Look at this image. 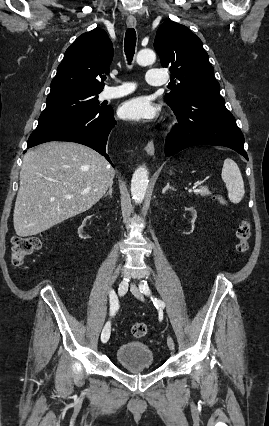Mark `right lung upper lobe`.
<instances>
[{"label":"right lung upper lobe","mask_w":269,"mask_h":426,"mask_svg":"<svg viewBox=\"0 0 269 426\" xmlns=\"http://www.w3.org/2000/svg\"><path fill=\"white\" fill-rule=\"evenodd\" d=\"M112 59L113 45L104 30L96 28L80 35L66 50L50 92L66 89L101 92L104 84L97 76L109 73Z\"/></svg>","instance_id":"right-lung-upper-lobe-1"}]
</instances>
